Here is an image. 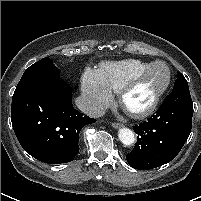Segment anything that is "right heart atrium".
Returning a JSON list of instances; mask_svg holds the SVG:
<instances>
[{
  "instance_id": "right-heart-atrium-1",
  "label": "right heart atrium",
  "mask_w": 201,
  "mask_h": 201,
  "mask_svg": "<svg viewBox=\"0 0 201 201\" xmlns=\"http://www.w3.org/2000/svg\"><path fill=\"white\" fill-rule=\"evenodd\" d=\"M82 105L89 115H99L111 102L112 92L97 70L87 69L82 77Z\"/></svg>"
}]
</instances>
